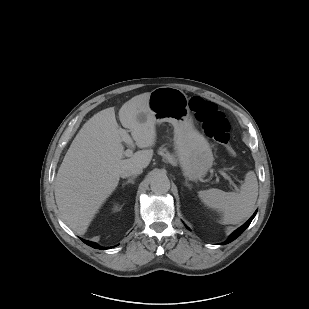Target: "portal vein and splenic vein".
<instances>
[{
    "mask_svg": "<svg viewBox=\"0 0 309 309\" xmlns=\"http://www.w3.org/2000/svg\"><path fill=\"white\" fill-rule=\"evenodd\" d=\"M122 140L127 143V145H129V149H127L125 151V155L130 157L133 153V148H134V144H133V140L131 139V137L129 136V134L127 133V131L123 130L122 131ZM219 173L226 179L228 180L230 183L233 184L232 179L229 175H227L224 171L219 170Z\"/></svg>",
    "mask_w": 309,
    "mask_h": 309,
    "instance_id": "obj_1",
    "label": "portal vein and splenic vein"
}]
</instances>
